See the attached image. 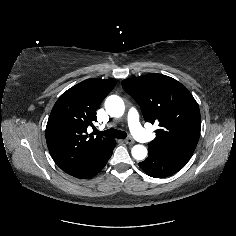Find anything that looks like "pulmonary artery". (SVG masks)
Here are the masks:
<instances>
[{
	"label": "pulmonary artery",
	"instance_id": "1",
	"mask_svg": "<svg viewBox=\"0 0 236 236\" xmlns=\"http://www.w3.org/2000/svg\"><path fill=\"white\" fill-rule=\"evenodd\" d=\"M128 123L133 135L141 142H150L153 135L147 132L139 122V114L136 109L131 108L128 111Z\"/></svg>",
	"mask_w": 236,
	"mask_h": 236
}]
</instances>
